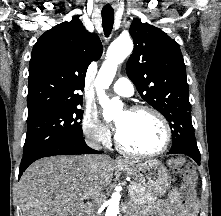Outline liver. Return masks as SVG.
Segmentation results:
<instances>
[{"mask_svg": "<svg viewBox=\"0 0 221 216\" xmlns=\"http://www.w3.org/2000/svg\"><path fill=\"white\" fill-rule=\"evenodd\" d=\"M114 171L109 156H99L96 172L88 156H57L32 163L19 181L22 216H81L84 200L95 187L111 183Z\"/></svg>", "mask_w": 221, "mask_h": 216, "instance_id": "obj_1", "label": "liver"}]
</instances>
